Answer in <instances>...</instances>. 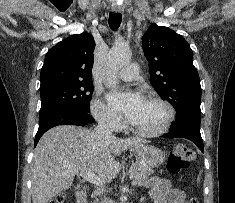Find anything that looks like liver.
Returning a JSON list of instances; mask_svg holds the SVG:
<instances>
[{
	"label": "liver",
	"instance_id": "liver-1",
	"mask_svg": "<svg viewBox=\"0 0 235 203\" xmlns=\"http://www.w3.org/2000/svg\"><path fill=\"white\" fill-rule=\"evenodd\" d=\"M144 143L140 138L106 139L95 130L72 125L48 130L39 140L31 164L33 203H48L80 173L91 171L102 183L111 182L121 169L113 155Z\"/></svg>",
	"mask_w": 235,
	"mask_h": 203
}]
</instances>
